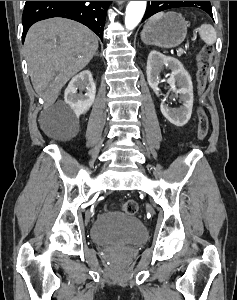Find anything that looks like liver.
<instances>
[{
  "mask_svg": "<svg viewBox=\"0 0 237 300\" xmlns=\"http://www.w3.org/2000/svg\"><path fill=\"white\" fill-rule=\"evenodd\" d=\"M24 49L37 95L53 105L67 81L91 61L98 39L84 25L56 17L32 25Z\"/></svg>",
  "mask_w": 237,
  "mask_h": 300,
  "instance_id": "liver-1",
  "label": "liver"
}]
</instances>
